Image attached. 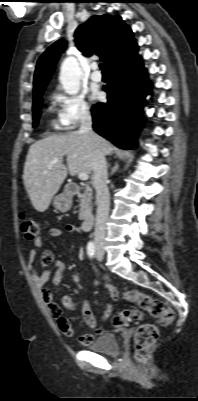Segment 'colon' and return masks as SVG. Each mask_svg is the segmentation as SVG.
Wrapping results in <instances>:
<instances>
[{
	"label": "colon",
	"mask_w": 198,
	"mask_h": 401,
	"mask_svg": "<svg viewBox=\"0 0 198 401\" xmlns=\"http://www.w3.org/2000/svg\"><path fill=\"white\" fill-rule=\"evenodd\" d=\"M19 224L22 233L27 239H35L39 235V226L37 222L25 215L19 216ZM124 298L136 303L139 310H125L116 313L113 317L115 327H124L129 320L140 321L145 313L150 314L163 325H169L174 320V312L168 304L160 299L153 298L147 294L136 290H129L124 293ZM68 303V300H66ZM54 312L57 316L61 315V309L56 305ZM158 339V329L152 324L140 325L134 335V358L137 362H144Z\"/></svg>",
	"instance_id": "5ec220e1"
}]
</instances>
